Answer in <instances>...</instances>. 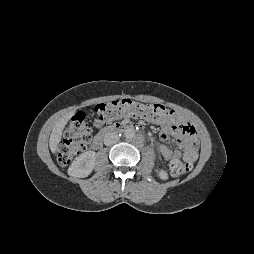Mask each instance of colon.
<instances>
[{
  "label": "colon",
  "mask_w": 254,
  "mask_h": 254,
  "mask_svg": "<svg viewBox=\"0 0 254 254\" xmlns=\"http://www.w3.org/2000/svg\"><path fill=\"white\" fill-rule=\"evenodd\" d=\"M95 125L103 127L124 116L143 118L154 122H164L173 119L174 112L162 104L141 103L131 99H120L109 103L99 104L94 109ZM91 137V128L86 115L76 114L66 126L63 138L58 148V162L66 165L77 156L86 146ZM192 168L188 162L172 160L169 164L173 176L187 174Z\"/></svg>",
  "instance_id": "5ec220e1"
}]
</instances>
